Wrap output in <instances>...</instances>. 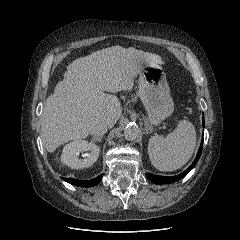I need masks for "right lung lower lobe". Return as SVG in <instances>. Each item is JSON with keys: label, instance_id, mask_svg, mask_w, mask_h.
Listing matches in <instances>:
<instances>
[{"label": "right lung lower lobe", "instance_id": "obj_1", "mask_svg": "<svg viewBox=\"0 0 240 240\" xmlns=\"http://www.w3.org/2000/svg\"><path fill=\"white\" fill-rule=\"evenodd\" d=\"M102 179V175L98 176L95 179H92L90 181H79V180H75L72 178H68V179H64L66 182L75 185V186H80V187H93L95 185H97Z\"/></svg>", "mask_w": 240, "mask_h": 240}]
</instances>
